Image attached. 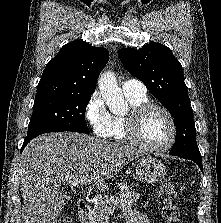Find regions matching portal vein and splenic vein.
<instances>
[{
  "label": "portal vein and splenic vein",
  "instance_id": "obj_1",
  "mask_svg": "<svg viewBox=\"0 0 221 223\" xmlns=\"http://www.w3.org/2000/svg\"><path fill=\"white\" fill-rule=\"evenodd\" d=\"M87 183V180L86 179H82V180H80L79 182H76L73 186H83V185H85ZM119 203V201L118 200H114L113 201V204L114 205H117Z\"/></svg>",
  "mask_w": 221,
  "mask_h": 223
}]
</instances>
